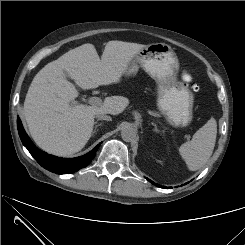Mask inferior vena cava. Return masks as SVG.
I'll list each match as a JSON object with an SVG mask.
<instances>
[{
	"mask_svg": "<svg viewBox=\"0 0 245 245\" xmlns=\"http://www.w3.org/2000/svg\"><path fill=\"white\" fill-rule=\"evenodd\" d=\"M96 118H97L98 120L111 121V117L108 116V115H106V114H104V113H97V114H96Z\"/></svg>",
	"mask_w": 245,
	"mask_h": 245,
	"instance_id": "inferior-vena-cava-1",
	"label": "inferior vena cava"
}]
</instances>
